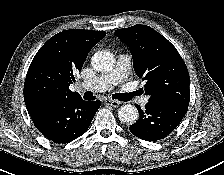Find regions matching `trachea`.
<instances>
[{
  "label": "trachea",
  "instance_id": "1",
  "mask_svg": "<svg viewBox=\"0 0 224 175\" xmlns=\"http://www.w3.org/2000/svg\"><path fill=\"white\" fill-rule=\"evenodd\" d=\"M139 92H131V93H117L112 96L113 99H118L120 101H129L131 100L134 96H138ZM84 98L87 100H93L95 97L93 96L92 92H86L84 94Z\"/></svg>",
  "mask_w": 224,
  "mask_h": 175
}]
</instances>
